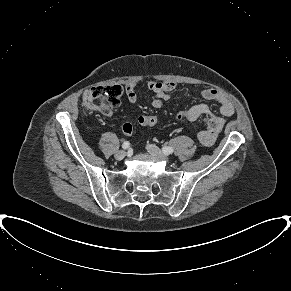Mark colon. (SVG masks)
Masks as SVG:
<instances>
[{
  "mask_svg": "<svg viewBox=\"0 0 291 291\" xmlns=\"http://www.w3.org/2000/svg\"><path fill=\"white\" fill-rule=\"evenodd\" d=\"M123 94V89L119 85L97 86L87 90L82 97V106L85 111H106L116 108ZM179 120L189 122L188 110L181 111L176 115ZM139 124L146 127H154L160 123L156 115H145L139 118ZM194 123V122H192ZM133 126L125 124L122 131L125 135L132 133Z\"/></svg>",
  "mask_w": 291,
  "mask_h": 291,
  "instance_id": "5ec220e1",
  "label": "colon"
}]
</instances>
